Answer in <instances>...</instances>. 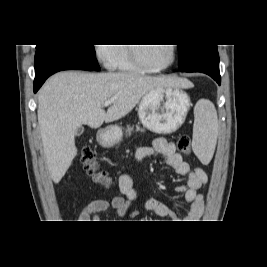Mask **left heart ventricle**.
I'll use <instances>...</instances> for the list:
<instances>
[{"mask_svg": "<svg viewBox=\"0 0 267 267\" xmlns=\"http://www.w3.org/2000/svg\"><path fill=\"white\" fill-rule=\"evenodd\" d=\"M141 60L150 67H161L171 59L170 44L154 46H137Z\"/></svg>", "mask_w": 267, "mask_h": 267, "instance_id": "left-heart-ventricle-1", "label": "left heart ventricle"}]
</instances>
